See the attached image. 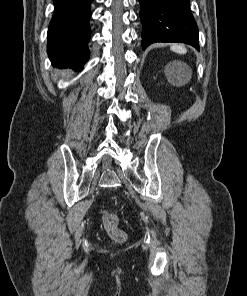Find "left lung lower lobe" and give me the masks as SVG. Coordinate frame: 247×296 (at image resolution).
<instances>
[{
    "label": "left lung lower lobe",
    "instance_id": "left-lung-lower-lobe-1",
    "mask_svg": "<svg viewBox=\"0 0 247 296\" xmlns=\"http://www.w3.org/2000/svg\"><path fill=\"white\" fill-rule=\"evenodd\" d=\"M142 49L155 42H179L199 50L198 27L189 0H139Z\"/></svg>",
    "mask_w": 247,
    "mask_h": 296
}]
</instances>
